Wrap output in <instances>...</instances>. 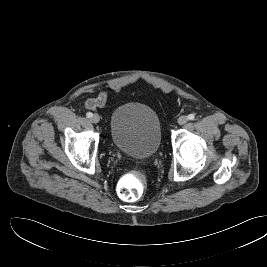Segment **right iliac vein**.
<instances>
[{
    "mask_svg": "<svg viewBox=\"0 0 267 267\" xmlns=\"http://www.w3.org/2000/svg\"><path fill=\"white\" fill-rule=\"evenodd\" d=\"M99 121H100V117H99V115L94 114V115L91 117V122H92V123L97 124Z\"/></svg>",
    "mask_w": 267,
    "mask_h": 267,
    "instance_id": "1",
    "label": "right iliac vein"
}]
</instances>
